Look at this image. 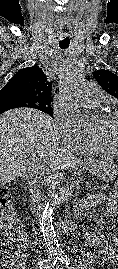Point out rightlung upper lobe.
Wrapping results in <instances>:
<instances>
[{
	"label": "right lung upper lobe",
	"mask_w": 118,
	"mask_h": 269,
	"mask_svg": "<svg viewBox=\"0 0 118 269\" xmlns=\"http://www.w3.org/2000/svg\"><path fill=\"white\" fill-rule=\"evenodd\" d=\"M51 91L52 82L47 81L41 68L33 66L19 70L0 90V97L15 93L42 104H51Z\"/></svg>",
	"instance_id": "cb5924a9"
}]
</instances>
